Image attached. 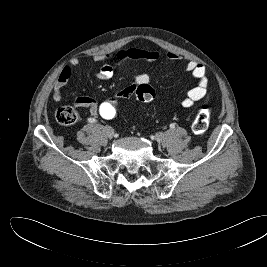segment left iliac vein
<instances>
[{
    "instance_id": "1",
    "label": "left iliac vein",
    "mask_w": 267,
    "mask_h": 267,
    "mask_svg": "<svg viewBox=\"0 0 267 267\" xmlns=\"http://www.w3.org/2000/svg\"><path fill=\"white\" fill-rule=\"evenodd\" d=\"M164 137H165V134H164L163 132H157V133L155 134V139H156L158 142L162 141V140L164 139Z\"/></svg>"
}]
</instances>
